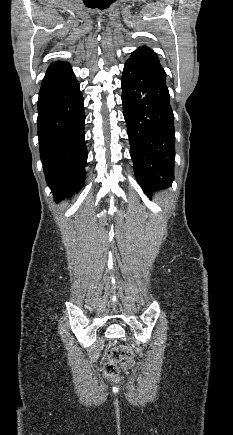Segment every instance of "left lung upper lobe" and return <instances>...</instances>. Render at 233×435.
I'll use <instances>...</instances> for the list:
<instances>
[{
    "label": "left lung upper lobe",
    "mask_w": 233,
    "mask_h": 435,
    "mask_svg": "<svg viewBox=\"0 0 233 435\" xmlns=\"http://www.w3.org/2000/svg\"><path fill=\"white\" fill-rule=\"evenodd\" d=\"M137 69L152 74L165 81L166 73L161 67L157 54L146 46L138 48L132 52L130 58L126 61Z\"/></svg>",
    "instance_id": "left-lung-upper-lobe-1"
}]
</instances>
